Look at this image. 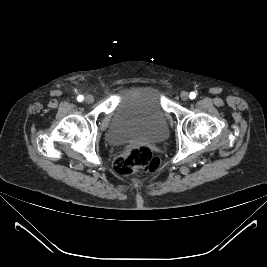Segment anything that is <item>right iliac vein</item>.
<instances>
[{
    "label": "right iliac vein",
    "instance_id": "63e3f726",
    "mask_svg": "<svg viewBox=\"0 0 267 267\" xmlns=\"http://www.w3.org/2000/svg\"><path fill=\"white\" fill-rule=\"evenodd\" d=\"M84 101H85L87 104H91V103L94 102V97H93L92 95H86Z\"/></svg>",
    "mask_w": 267,
    "mask_h": 267
}]
</instances>
